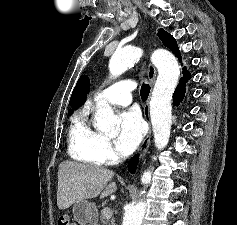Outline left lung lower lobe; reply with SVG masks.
Here are the masks:
<instances>
[{
    "mask_svg": "<svg viewBox=\"0 0 237 225\" xmlns=\"http://www.w3.org/2000/svg\"><path fill=\"white\" fill-rule=\"evenodd\" d=\"M190 78H191V76H190L189 72L186 71L184 73V78L180 79V83L178 84V86L176 87V90L174 92V95H173L174 104L178 105L182 101L184 94H185V83L184 82Z\"/></svg>",
    "mask_w": 237,
    "mask_h": 225,
    "instance_id": "0a47b994",
    "label": "left lung lower lobe"
}]
</instances>
